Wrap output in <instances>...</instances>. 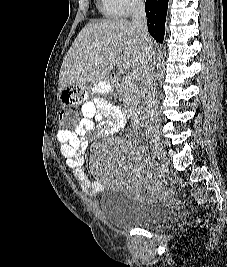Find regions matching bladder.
Returning <instances> with one entry per match:
<instances>
[{
  "instance_id": "obj_1",
  "label": "bladder",
  "mask_w": 227,
  "mask_h": 267,
  "mask_svg": "<svg viewBox=\"0 0 227 267\" xmlns=\"http://www.w3.org/2000/svg\"><path fill=\"white\" fill-rule=\"evenodd\" d=\"M100 207L105 220L118 229H155L175 220L174 210L158 200H136L116 188L103 191Z\"/></svg>"
}]
</instances>
